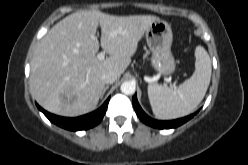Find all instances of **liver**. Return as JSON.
<instances>
[{"instance_id": "6515ba94", "label": "liver", "mask_w": 248, "mask_h": 165, "mask_svg": "<svg viewBox=\"0 0 248 165\" xmlns=\"http://www.w3.org/2000/svg\"><path fill=\"white\" fill-rule=\"evenodd\" d=\"M156 20L151 15L113 16L98 10L65 17L37 44L31 61L32 96L42 108L61 116L94 110L105 85L102 75L124 73L139 41ZM98 26L100 44L95 36ZM100 45L109 54L103 61L97 58Z\"/></svg>"}]
</instances>
